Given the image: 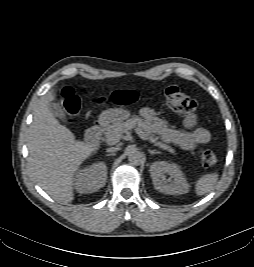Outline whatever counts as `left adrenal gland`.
Wrapping results in <instances>:
<instances>
[{
  "instance_id": "obj_1",
  "label": "left adrenal gland",
  "mask_w": 254,
  "mask_h": 267,
  "mask_svg": "<svg viewBox=\"0 0 254 267\" xmlns=\"http://www.w3.org/2000/svg\"><path fill=\"white\" fill-rule=\"evenodd\" d=\"M148 152L150 153V155H153V154H160V152L157 151V150H151V149H148Z\"/></svg>"
}]
</instances>
